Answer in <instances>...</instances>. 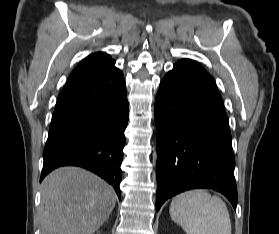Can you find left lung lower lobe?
I'll list each match as a JSON object with an SVG mask.
<instances>
[{
    "label": "left lung lower lobe",
    "mask_w": 279,
    "mask_h": 234,
    "mask_svg": "<svg viewBox=\"0 0 279 234\" xmlns=\"http://www.w3.org/2000/svg\"><path fill=\"white\" fill-rule=\"evenodd\" d=\"M155 121L156 209L185 190L209 188L224 194L236 210L228 117L215 81L198 63L180 60L162 79Z\"/></svg>",
    "instance_id": "0a47b994"
}]
</instances>
